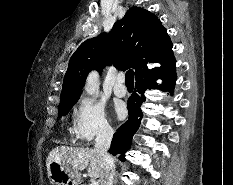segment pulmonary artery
<instances>
[{"instance_id":"obj_1","label":"pulmonary artery","mask_w":233,"mask_h":185,"mask_svg":"<svg viewBox=\"0 0 233 185\" xmlns=\"http://www.w3.org/2000/svg\"><path fill=\"white\" fill-rule=\"evenodd\" d=\"M125 77L122 73L118 74L116 78V84L114 86V92L117 96L123 97L127 93V88L124 84Z\"/></svg>"}]
</instances>
